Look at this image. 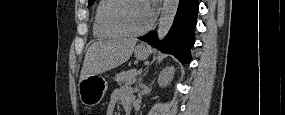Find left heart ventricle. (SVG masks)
<instances>
[{
  "label": "left heart ventricle",
  "instance_id": "1",
  "mask_svg": "<svg viewBox=\"0 0 285 115\" xmlns=\"http://www.w3.org/2000/svg\"><path fill=\"white\" fill-rule=\"evenodd\" d=\"M117 18L127 29L138 31L147 24L145 5L138 1L128 2L118 11Z\"/></svg>",
  "mask_w": 285,
  "mask_h": 115
}]
</instances>
